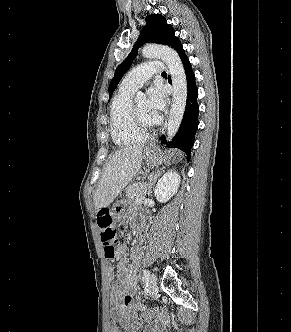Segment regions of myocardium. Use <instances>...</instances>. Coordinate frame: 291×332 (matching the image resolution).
Returning <instances> with one entry per match:
<instances>
[{
	"label": "myocardium",
	"instance_id": "myocardium-1",
	"mask_svg": "<svg viewBox=\"0 0 291 332\" xmlns=\"http://www.w3.org/2000/svg\"><path fill=\"white\" fill-rule=\"evenodd\" d=\"M131 117H132L133 126L139 134L146 137V136L152 135L156 132V127L155 126L149 127V126H146L142 122V120H141V118L138 114L137 107H136L135 103H132V106H131Z\"/></svg>",
	"mask_w": 291,
	"mask_h": 332
}]
</instances>
